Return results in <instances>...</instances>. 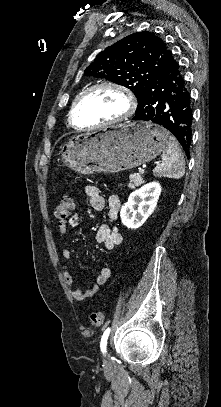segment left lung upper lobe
I'll list each match as a JSON object with an SVG mask.
<instances>
[{
    "label": "left lung upper lobe",
    "mask_w": 221,
    "mask_h": 407,
    "mask_svg": "<svg viewBox=\"0 0 221 407\" xmlns=\"http://www.w3.org/2000/svg\"><path fill=\"white\" fill-rule=\"evenodd\" d=\"M172 59V52L161 38L142 31L101 51L86 68L85 74L125 86L139 101L148 82L160 74Z\"/></svg>",
    "instance_id": "obj_1"
}]
</instances>
